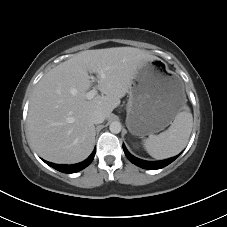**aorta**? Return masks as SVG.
<instances>
[{
  "label": "aorta",
  "mask_w": 227,
  "mask_h": 227,
  "mask_svg": "<svg viewBox=\"0 0 227 227\" xmlns=\"http://www.w3.org/2000/svg\"><path fill=\"white\" fill-rule=\"evenodd\" d=\"M121 123L118 121H114L110 124L109 130L111 133L118 134L121 131Z\"/></svg>",
  "instance_id": "aorta-1"
}]
</instances>
